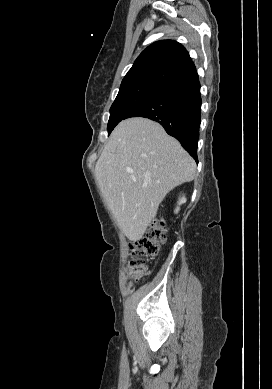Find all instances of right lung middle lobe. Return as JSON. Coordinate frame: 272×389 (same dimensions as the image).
Masks as SVG:
<instances>
[{
    "mask_svg": "<svg viewBox=\"0 0 272 389\" xmlns=\"http://www.w3.org/2000/svg\"><path fill=\"white\" fill-rule=\"evenodd\" d=\"M163 86V84L150 81L121 85L118 95L110 108V118L107 125L108 135L132 108Z\"/></svg>",
    "mask_w": 272,
    "mask_h": 389,
    "instance_id": "1",
    "label": "right lung middle lobe"
}]
</instances>
